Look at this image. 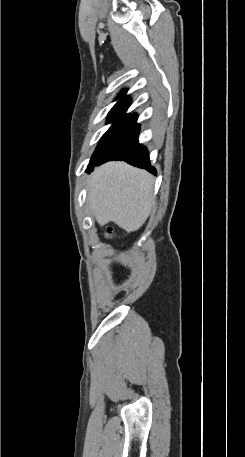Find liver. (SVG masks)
<instances>
[{
  "label": "liver",
  "instance_id": "1",
  "mask_svg": "<svg viewBox=\"0 0 245 457\" xmlns=\"http://www.w3.org/2000/svg\"><path fill=\"white\" fill-rule=\"evenodd\" d=\"M88 190L87 202L100 226L114 220L127 233L140 229L155 204L152 174L122 160L97 166Z\"/></svg>",
  "mask_w": 245,
  "mask_h": 457
}]
</instances>
